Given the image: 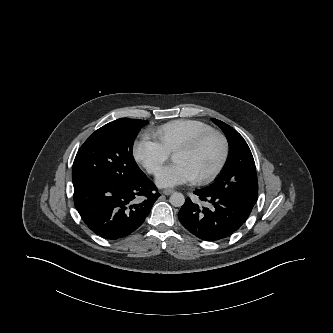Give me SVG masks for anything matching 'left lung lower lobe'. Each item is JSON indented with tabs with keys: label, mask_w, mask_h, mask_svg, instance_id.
Segmentation results:
<instances>
[{
	"label": "left lung lower lobe",
	"mask_w": 333,
	"mask_h": 333,
	"mask_svg": "<svg viewBox=\"0 0 333 333\" xmlns=\"http://www.w3.org/2000/svg\"><path fill=\"white\" fill-rule=\"evenodd\" d=\"M194 194L208 206L199 207L188 198L178 218L190 233L202 240L217 241L230 236L242 226L252 211L218 190L205 187Z\"/></svg>",
	"instance_id": "obj_1"
}]
</instances>
